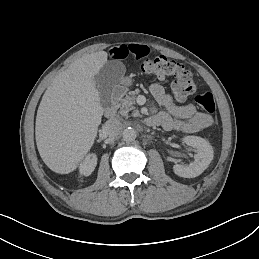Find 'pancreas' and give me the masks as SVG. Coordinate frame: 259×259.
Here are the masks:
<instances>
[{"label": "pancreas", "instance_id": "cf45deb5", "mask_svg": "<svg viewBox=\"0 0 259 259\" xmlns=\"http://www.w3.org/2000/svg\"><path fill=\"white\" fill-rule=\"evenodd\" d=\"M135 95L126 96L125 98L121 99L120 103V111L119 113L123 116L128 117V112L133 110L132 116L138 117L140 116V113L138 110H135V107L133 106L135 104Z\"/></svg>", "mask_w": 259, "mask_h": 259}]
</instances>
